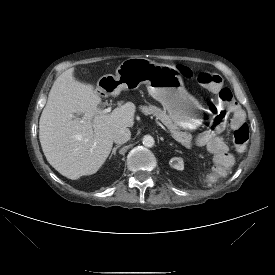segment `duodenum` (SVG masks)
Segmentation results:
<instances>
[{
    "mask_svg": "<svg viewBox=\"0 0 275 275\" xmlns=\"http://www.w3.org/2000/svg\"><path fill=\"white\" fill-rule=\"evenodd\" d=\"M96 94H98L100 97H102V98H104V97H106V92H104V91H102L101 89H96Z\"/></svg>",
    "mask_w": 275,
    "mask_h": 275,
    "instance_id": "obj_1",
    "label": "duodenum"
}]
</instances>
